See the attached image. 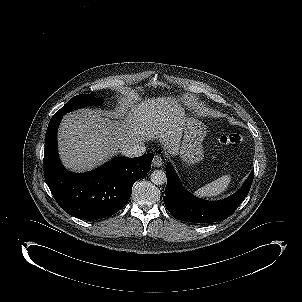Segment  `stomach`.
Masks as SVG:
<instances>
[{
  "mask_svg": "<svg viewBox=\"0 0 302 302\" xmlns=\"http://www.w3.org/2000/svg\"><path fill=\"white\" fill-rule=\"evenodd\" d=\"M182 133L179 155L186 166H191L203 158L202 142L206 135V128L201 121L188 117L184 119Z\"/></svg>",
  "mask_w": 302,
  "mask_h": 302,
  "instance_id": "0dacf381",
  "label": "stomach"
}]
</instances>
